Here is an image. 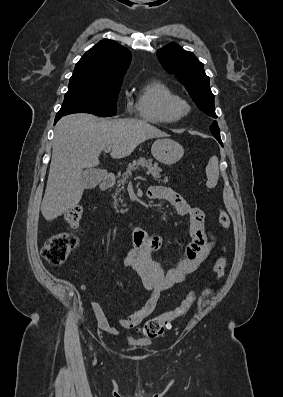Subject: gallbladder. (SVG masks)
<instances>
[{
    "mask_svg": "<svg viewBox=\"0 0 283 397\" xmlns=\"http://www.w3.org/2000/svg\"><path fill=\"white\" fill-rule=\"evenodd\" d=\"M102 177L103 173L95 169H88L82 172V179L88 189L95 188L100 183Z\"/></svg>",
    "mask_w": 283,
    "mask_h": 397,
    "instance_id": "bac80fb5",
    "label": "gallbladder"
}]
</instances>
